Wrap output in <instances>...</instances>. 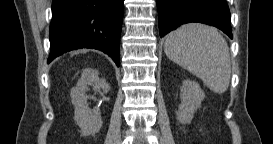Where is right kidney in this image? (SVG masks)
Wrapping results in <instances>:
<instances>
[{
    "label": "right kidney",
    "instance_id": "obj_1",
    "mask_svg": "<svg viewBox=\"0 0 273 144\" xmlns=\"http://www.w3.org/2000/svg\"><path fill=\"white\" fill-rule=\"evenodd\" d=\"M90 85H95L99 92L100 88L104 91L109 89V85L104 80L99 79L96 70L85 69L82 73L81 79L70 93L71 102L74 105L75 111L74 119L82 133L87 136L96 134L103 124L99 111H91L88 107L85 91Z\"/></svg>",
    "mask_w": 273,
    "mask_h": 144
}]
</instances>
